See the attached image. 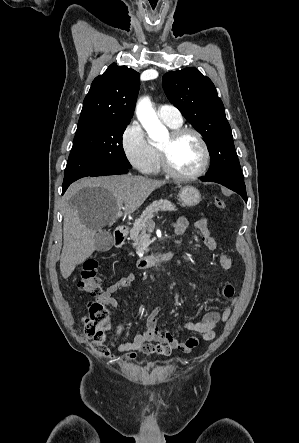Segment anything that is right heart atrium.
I'll list each match as a JSON object with an SVG mask.
<instances>
[{
	"instance_id": "1",
	"label": "right heart atrium",
	"mask_w": 299,
	"mask_h": 443,
	"mask_svg": "<svg viewBox=\"0 0 299 443\" xmlns=\"http://www.w3.org/2000/svg\"><path fill=\"white\" fill-rule=\"evenodd\" d=\"M121 147L130 164L143 173L153 166V152L146 135L137 121L130 122L121 134Z\"/></svg>"
}]
</instances>
